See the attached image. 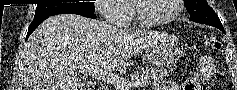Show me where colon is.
<instances>
[{"label": "colon", "instance_id": "1", "mask_svg": "<svg viewBox=\"0 0 237 90\" xmlns=\"http://www.w3.org/2000/svg\"><path fill=\"white\" fill-rule=\"evenodd\" d=\"M214 45H215L214 47H215L216 49H219V45H220V44H219L218 42H215Z\"/></svg>", "mask_w": 237, "mask_h": 90}]
</instances>
